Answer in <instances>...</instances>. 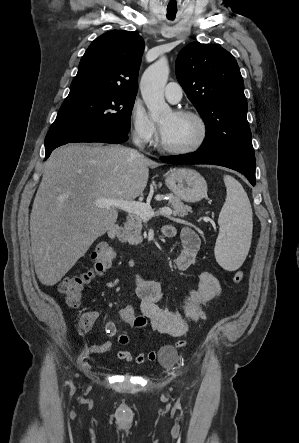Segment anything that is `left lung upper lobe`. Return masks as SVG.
Returning <instances> with one entry per match:
<instances>
[{
  "mask_svg": "<svg viewBox=\"0 0 299 443\" xmlns=\"http://www.w3.org/2000/svg\"><path fill=\"white\" fill-rule=\"evenodd\" d=\"M176 76L206 125L198 151L254 155L244 82L232 54L218 45L190 43L178 54Z\"/></svg>",
  "mask_w": 299,
  "mask_h": 443,
  "instance_id": "obj_1",
  "label": "left lung upper lobe"
}]
</instances>
